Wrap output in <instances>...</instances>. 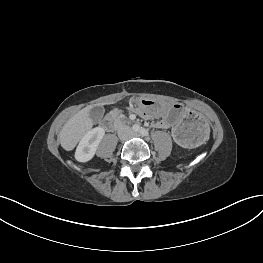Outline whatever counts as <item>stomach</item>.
Segmentation results:
<instances>
[{
    "instance_id": "obj_1",
    "label": "stomach",
    "mask_w": 263,
    "mask_h": 263,
    "mask_svg": "<svg viewBox=\"0 0 263 263\" xmlns=\"http://www.w3.org/2000/svg\"><path fill=\"white\" fill-rule=\"evenodd\" d=\"M131 101L139 103L145 112L170 128L174 139L184 147L199 145L208 136L207 118L202 114L195 115L182 103L163 104L147 98H132Z\"/></svg>"
}]
</instances>
